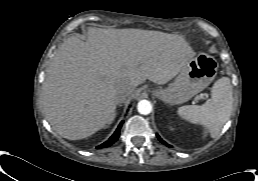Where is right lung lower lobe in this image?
<instances>
[{"mask_svg":"<svg viewBox=\"0 0 258 181\" xmlns=\"http://www.w3.org/2000/svg\"><path fill=\"white\" fill-rule=\"evenodd\" d=\"M123 124V121L119 124L118 128L116 129L115 133L109 138L108 141L104 142L103 144L97 146V148H105V147H109L111 146L114 142L117 141L118 137H119V132L121 129V126Z\"/></svg>","mask_w":258,"mask_h":181,"instance_id":"right-lung-lower-lobe-1","label":"right lung lower lobe"}]
</instances>
